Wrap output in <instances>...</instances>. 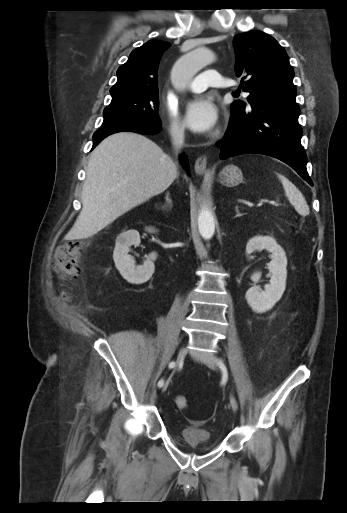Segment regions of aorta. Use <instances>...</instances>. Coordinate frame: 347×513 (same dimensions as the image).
Listing matches in <instances>:
<instances>
[{
  "mask_svg": "<svg viewBox=\"0 0 347 513\" xmlns=\"http://www.w3.org/2000/svg\"><path fill=\"white\" fill-rule=\"evenodd\" d=\"M214 61V54L205 47H198L186 53L173 65L171 71L173 86L180 91L184 90L198 71ZM198 226L204 239L208 240L213 236L215 220L212 212L206 207H203L199 212Z\"/></svg>",
  "mask_w": 347,
  "mask_h": 513,
  "instance_id": "obj_1",
  "label": "aorta"
}]
</instances>
